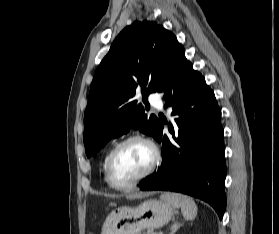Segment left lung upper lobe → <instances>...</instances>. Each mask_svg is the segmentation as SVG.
I'll use <instances>...</instances> for the list:
<instances>
[{"label": "left lung upper lobe", "instance_id": "obj_1", "mask_svg": "<svg viewBox=\"0 0 279 234\" xmlns=\"http://www.w3.org/2000/svg\"><path fill=\"white\" fill-rule=\"evenodd\" d=\"M183 46L176 36L153 21H136L123 29L98 66L84 115V145L94 156L110 139L130 128L156 137L159 120L147 116L132 100L141 86L143 101L156 92L175 55Z\"/></svg>", "mask_w": 279, "mask_h": 234}]
</instances>
